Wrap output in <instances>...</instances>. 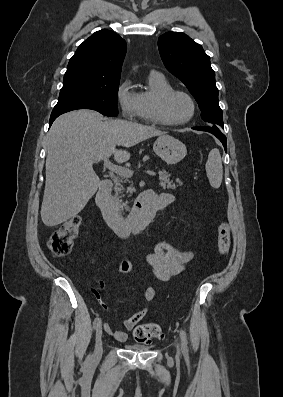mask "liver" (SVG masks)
<instances>
[{"label":"liver","instance_id":"6515ba94","mask_svg":"<svg viewBox=\"0 0 283 397\" xmlns=\"http://www.w3.org/2000/svg\"><path fill=\"white\" fill-rule=\"evenodd\" d=\"M165 133L154 127L126 120H105L88 109L58 117L48 134L46 182L41 218L48 227L77 215L96 193L100 179L93 170L96 159L124 163L127 150L146 139Z\"/></svg>","mask_w":283,"mask_h":397}]
</instances>
